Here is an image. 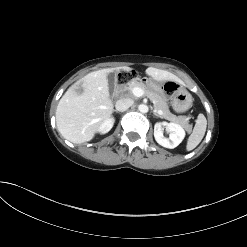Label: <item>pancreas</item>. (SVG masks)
<instances>
[{
	"instance_id": "obj_1",
	"label": "pancreas",
	"mask_w": 247,
	"mask_h": 247,
	"mask_svg": "<svg viewBox=\"0 0 247 247\" xmlns=\"http://www.w3.org/2000/svg\"><path fill=\"white\" fill-rule=\"evenodd\" d=\"M135 87H139L144 90V94L153 102L156 111H162V114L160 115L161 118L178 123L183 126L188 133L191 132L192 125L189 124L188 118L185 116H176L172 114L169 110L166 99L158 93L154 84L150 83L149 85H145L142 82H133L131 86H128V88L125 89L132 91Z\"/></svg>"
}]
</instances>
